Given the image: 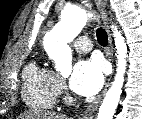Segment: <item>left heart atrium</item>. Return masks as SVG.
Masks as SVG:
<instances>
[{
    "instance_id": "1",
    "label": "left heart atrium",
    "mask_w": 142,
    "mask_h": 119,
    "mask_svg": "<svg viewBox=\"0 0 142 119\" xmlns=\"http://www.w3.org/2000/svg\"><path fill=\"white\" fill-rule=\"evenodd\" d=\"M104 81L102 63L95 58L79 61L70 78L71 89L81 96L97 93Z\"/></svg>"
}]
</instances>
